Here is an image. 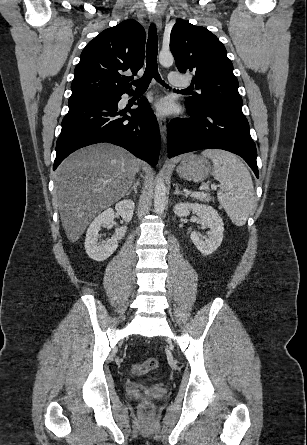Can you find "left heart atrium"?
<instances>
[{"instance_id": "1", "label": "left heart atrium", "mask_w": 307, "mask_h": 445, "mask_svg": "<svg viewBox=\"0 0 307 445\" xmlns=\"http://www.w3.org/2000/svg\"><path fill=\"white\" fill-rule=\"evenodd\" d=\"M156 110L159 113L165 114L167 112H169L170 110V103L168 100H160L157 104H156Z\"/></svg>"}]
</instances>
